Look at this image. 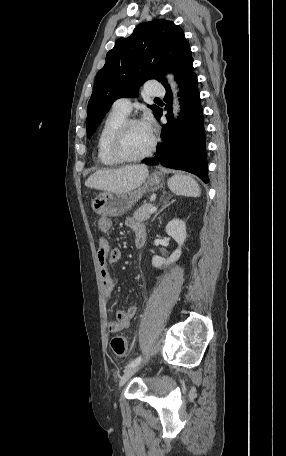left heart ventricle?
I'll use <instances>...</instances> for the list:
<instances>
[{
  "label": "left heart ventricle",
  "mask_w": 286,
  "mask_h": 456,
  "mask_svg": "<svg viewBox=\"0 0 286 456\" xmlns=\"http://www.w3.org/2000/svg\"><path fill=\"white\" fill-rule=\"evenodd\" d=\"M150 144V129L146 125L137 124L129 127L125 132L120 150L127 157H138L149 149Z\"/></svg>",
  "instance_id": "obj_1"
}]
</instances>
